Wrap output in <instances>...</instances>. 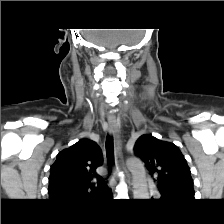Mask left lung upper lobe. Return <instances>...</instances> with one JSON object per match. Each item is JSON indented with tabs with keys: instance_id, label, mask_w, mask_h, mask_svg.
I'll list each match as a JSON object with an SVG mask.
<instances>
[{
	"instance_id": "5c2ea615",
	"label": "left lung upper lobe",
	"mask_w": 224,
	"mask_h": 224,
	"mask_svg": "<svg viewBox=\"0 0 224 224\" xmlns=\"http://www.w3.org/2000/svg\"><path fill=\"white\" fill-rule=\"evenodd\" d=\"M134 151L149 172L156 175L161 194L194 198L190 168L176 145L145 134L136 141Z\"/></svg>"
}]
</instances>
